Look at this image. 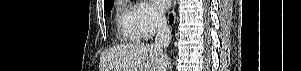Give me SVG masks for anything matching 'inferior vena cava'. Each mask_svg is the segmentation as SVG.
<instances>
[{"mask_svg": "<svg viewBox=\"0 0 301 71\" xmlns=\"http://www.w3.org/2000/svg\"><path fill=\"white\" fill-rule=\"evenodd\" d=\"M157 33L155 37L154 46L163 52L171 42V31L167 24L165 15L157 13L155 15Z\"/></svg>", "mask_w": 301, "mask_h": 71, "instance_id": "602c4592", "label": "inferior vena cava"}]
</instances>
